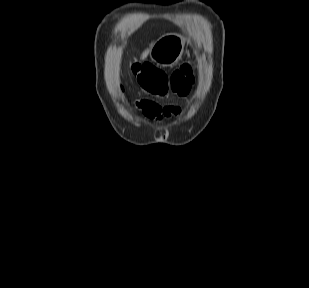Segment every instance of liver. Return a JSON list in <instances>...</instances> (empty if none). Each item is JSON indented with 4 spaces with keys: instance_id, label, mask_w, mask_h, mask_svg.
<instances>
[{
    "instance_id": "1",
    "label": "liver",
    "mask_w": 309,
    "mask_h": 288,
    "mask_svg": "<svg viewBox=\"0 0 309 288\" xmlns=\"http://www.w3.org/2000/svg\"><path fill=\"white\" fill-rule=\"evenodd\" d=\"M148 53H149V49H146V50L142 53L141 59L144 60V59L147 57Z\"/></svg>"
}]
</instances>
